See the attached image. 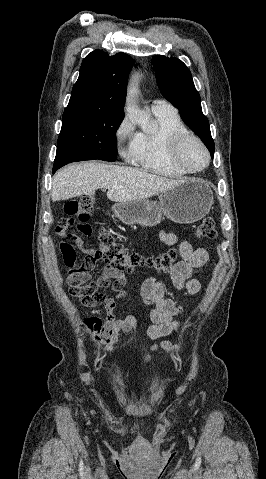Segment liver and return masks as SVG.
Instances as JSON below:
<instances>
[{"label": "liver", "mask_w": 266, "mask_h": 479, "mask_svg": "<svg viewBox=\"0 0 266 479\" xmlns=\"http://www.w3.org/2000/svg\"><path fill=\"white\" fill-rule=\"evenodd\" d=\"M183 181L132 167L89 161L74 163L58 171L53 177L51 197L55 202L82 195H94L97 189H108L109 200L125 202L146 199Z\"/></svg>", "instance_id": "1"}]
</instances>
